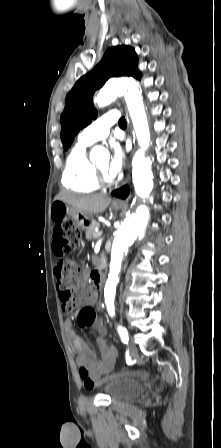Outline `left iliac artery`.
Returning a JSON list of instances; mask_svg holds the SVG:
<instances>
[{
  "instance_id": "left-iliac-artery-1",
  "label": "left iliac artery",
  "mask_w": 221,
  "mask_h": 448,
  "mask_svg": "<svg viewBox=\"0 0 221 448\" xmlns=\"http://www.w3.org/2000/svg\"><path fill=\"white\" fill-rule=\"evenodd\" d=\"M117 330H118V333L120 335L122 342L127 344L129 337H128V332H127L126 328H124L122 326H118Z\"/></svg>"
}]
</instances>
